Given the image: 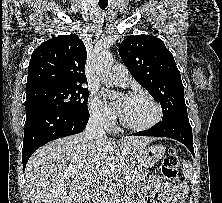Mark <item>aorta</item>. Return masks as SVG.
I'll return each mask as SVG.
<instances>
[{"mask_svg": "<svg viewBox=\"0 0 222 203\" xmlns=\"http://www.w3.org/2000/svg\"><path fill=\"white\" fill-rule=\"evenodd\" d=\"M113 64V57L108 52H102L96 62V73L102 81H108Z\"/></svg>", "mask_w": 222, "mask_h": 203, "instance_id": "aorta-1", "label": "aorta"}]
</instances>
